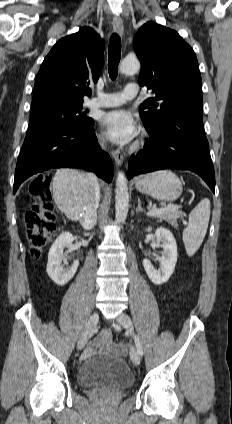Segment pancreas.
Segmentation results:
<instances>
[{
	"mask_svg": "<svg viewBox=\"0 0 232 424\" xmlns=\"http://www.w3.org/2000/svg\"><path fill=\"white\" fill-rule=\"evenodd\" d=\"M152 210V209H150ZM179 213L177 212H165L159 215L154 216L155 218H158L159 221H167L169 222L173 227L177 228L178 227V223H177V219L179 217Z\"/></svg>",
	"mask_w": 232,
	"mask_h": 424,
	"instance_id": "pancreas-1",
	"label": "pancreas"
}]
</instances>
